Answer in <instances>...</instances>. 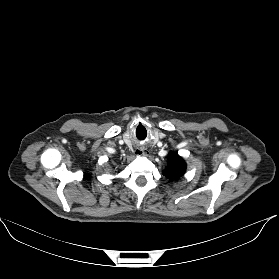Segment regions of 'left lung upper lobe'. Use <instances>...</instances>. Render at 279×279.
Instances as JSON below:
<instances>
[{
    "label": "left lung upper lobe",
    "mask_w": 279,
    "mask_h": 279,
    "mask_svg": "<svg viewBox=\"0 0 279 279\" xmlns=\"http://www.w3.org/2000/svg\"><path fill=\"white\" fill-rule=\"evenodd\" d=\"M186 170L184 160L177 154H171L168 161V166L163 171V174L171 181L179 179Z\"/></svg>",
    "instance_id": "left-lung-upper-lobe-1"
}]
</instances>
